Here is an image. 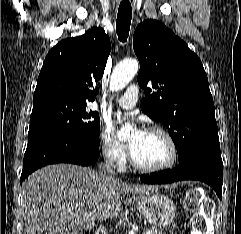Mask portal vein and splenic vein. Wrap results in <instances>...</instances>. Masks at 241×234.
Wrapping results in <instances>:
<instances>
[{"label":"portal vein and splenic vein","mask_w":241,"mask_h":234,"mask_svg":"<svg viewBox=\"0 0 241 234\" xmlns=\"http://www.w3.org/2000/svg\"><path fill=\"white\" fill-rule=\"evenodd\" d=\"M146 234H151V232H150V231H148V232H146Z\"/></svg>","instance_id":"18ae733b"}]
</instances>
